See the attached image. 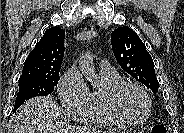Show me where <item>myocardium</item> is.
Returning a JSON list of instances; mask_svg holds the SVG:
<instances>
[{
  "mask_svg": "<svg viewBox=\"0 0 184 133\" xmlns=\"http://www.w3.org/2000/svg\"><path fill=\"white\" fill-rule=\"evenodd\" d=\"M128 88H135L141 92L146 100L147 110L140 119H130L125 117L119 110V97ZM104 103L107 111L117 124L137 126L148 120L152 112V100L147 90L140 84L132 81H121L120 83L108 88L104 94Z\"/></svg>",
  "mask_w": 184,
  "mask_h": 133,
  "instance_id": "myocardium-1",
  "label": "myocardium"
}]
</instances>
